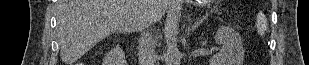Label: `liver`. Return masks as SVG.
Segmentation results:
<instances>
[{
	"instance_id": "liver-1",
	"label": "liver",
	"mask_w": 309,
	"mask_h": 65,
	"mask_svg": "<svg viewBox=\"0 0 309 65\" xmlns=\"http://www.w3.org/2000/svg\"><path fill=\"white\" fill-rule=\"evenodd\" d=\"M168 0H58L61 59L71 65L112 33L135 32L162 18Z\"/></svg>"
}]
</instances>
